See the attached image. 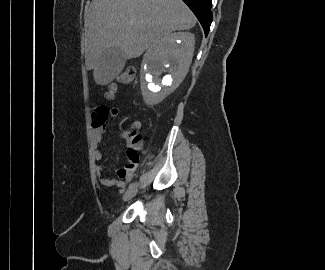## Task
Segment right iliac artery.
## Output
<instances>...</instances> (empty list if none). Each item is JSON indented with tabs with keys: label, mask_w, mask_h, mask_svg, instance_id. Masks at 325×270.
Segmentation results:
<instances>
[{
	"label": "right iliac artery",
	"mask_w": 325,
	"mask_h": 270,
	"mask_svg": "<svg viewBox=\"0 0 325 270\" xmlns=\"http://www.w3.org/2000/svg\"><path fill=\"white\" fill-rule=\"evenodd\" d=\"M137 184H138L137 182L131 183V184L129 185L128 188H129V189H130V188H134V187L137 186Z\"/></svg>",
	"instance_id": "82829eb1"
}]
</instances>
